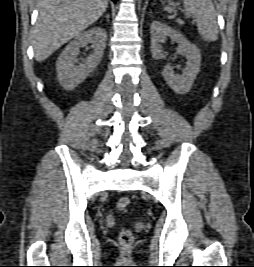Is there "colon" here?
<instances>
[{
	"mask_svg": "<svg viewBox=\"0 0 254 267\" xmlns=\"http://www.w3.org/2000/svg\"><path fill=\"white\" fill-rule=\"evenodd\" d=\"M130 205V199L128 197H121L117 201V208L121 211L127 209ZM134 237L129 229L123 228L119 233V242L123 246H130L133 243Z\"/></svg>",
	"mask_w": 254,
	"mask_h": 267,
	"instance_id": "obj_1",
	"label": "colon"
}]
</instances>
